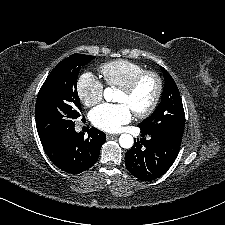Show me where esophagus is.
<instances>
[{
  "label": "esophagus",
  "instance_id": "esophagus-1",
  "mask_svg": "<svg viewBox=\"0 0 225 225\" xmlns=\"http://www.w3.org/2000/svg\"><path fill=\"white\" fill-rule=\"evenodd\" d=\"M118 135L116 134H111V133H106V138L109 139V138H117Z\"/></svg>",
  "mask_w": 225,
  "mask_h": 225
}]
</instances>
